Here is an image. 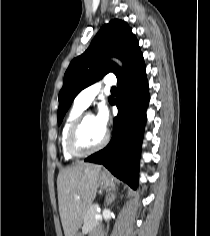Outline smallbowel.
Masks as SVG:
<instances>
[{
	"instance_id": "small-bowel-1",
	"label": "small bowel",
	"mask_w": 210,
	"mask_h": 236,
	"mask_svg": "<svg viewBox=\"0 0 210 236\" xmlns=\"http://www.w3.org/2000/svg\"><path fill=\"white\" fill-rule=\"evenodd\" d=\"M91 236H103L102 231L100 229H97L94 231V233Z\"/></svg>"
}]
</instances>
